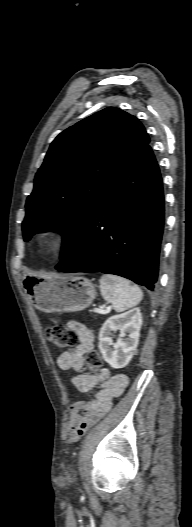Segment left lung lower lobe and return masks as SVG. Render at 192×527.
I'll use <instances>...</instances> for the list:
<instances>
[{
  "mask_svg": "<svg viewBox=\"0 0 192 527\" xmlns=\"http://www.w3.org/2000/svg\"><path fill=\"white\" fill-rule=\"evenodd\" d=\"M163 227L162 179L148 144L111 185L56 269L115 274L153 290Z\"/></svg>",
  "mask_w": 192,
  "mask_h": 527,
  "instance_id": "1",
  "label": "left lung lower lobe"
}]
</instances>
